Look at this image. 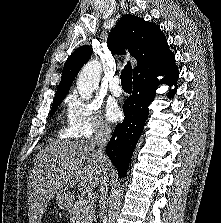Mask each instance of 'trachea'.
Listing matches in <instances>:
<instances>
[{"instance_id": "trachea-1", "label": "trachea", "mask_w": 221, "mask_h": 223, "mask_svg": "<svg viewBox=\"0 0 221 223\" xmlns=\"http://www.w3.org/2000/svg\"><path fill=\"white\" fill-rule=\"evenodd\" d=\"M120 78L123 88H132V67L130 62L122 70Z\"/></svg>"}]
</instances>
